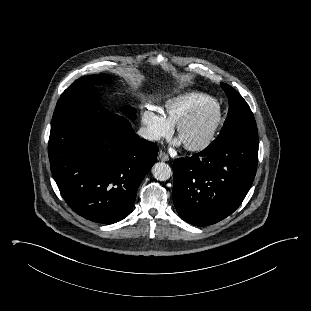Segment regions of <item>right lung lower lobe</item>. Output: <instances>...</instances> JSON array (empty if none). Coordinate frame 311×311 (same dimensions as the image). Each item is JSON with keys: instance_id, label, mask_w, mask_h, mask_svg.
<instances>
[{"instance_id": "98d812e1", "label": "right lung lower lobe", "mask_w": 311, "mask_h": 311, "mask_svg": "<svg viewBox=\"0 0 311 311\" xmlns=\"http://www.w3.org/2000/svg\"><path fill=\"white\" fill-rule=\"evenodd\" d=\"M158 146L117 114L80 116L52 126V175L69 207L97 223L129 215L137 189L157 159Z\"/></svg>"}]
</instances>
